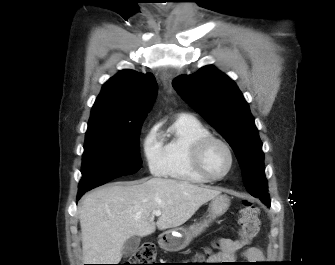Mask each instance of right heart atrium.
Listing matches in <instances>:
<instances>
[{
  "mask_svg": "<svg viewBox=\"0 0 335 265\" xmlns=\"http://www.w3.org/2000/svg\"><path fill=\"white\" fill-rule=\"evenodd\" d=\"M143 152L149 170L154 175L164 173L163 144L158 126H153L143 140Z\"/></svg>",
  "mask_w": 335,
  "mask_h": 265,
  "instance_id": "d8ad5b80",
  "label": "right heart atrium"
}]
</instances>
